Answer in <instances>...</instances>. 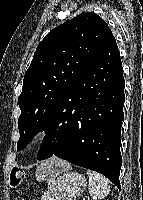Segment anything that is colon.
I'll list each match as a JSON object with an SVG mask.
<instances>
[{
  "label": "colon",
  "mask_w": 143,
  "mask_h": 200,
  "mask_svg": "<svg viewBox=\"0 0 143 200\" xmlns=\"http://www.w3.org/2000/svg\"><path fill=\"white\" fill-rule=\"evenodd\" d=\"M24 177V172L21 169L14 167L10 172V186L12 188H18L23 182Z\"/></svg>",
  "instance_id": "5ec220e1"
}]
</instances>
